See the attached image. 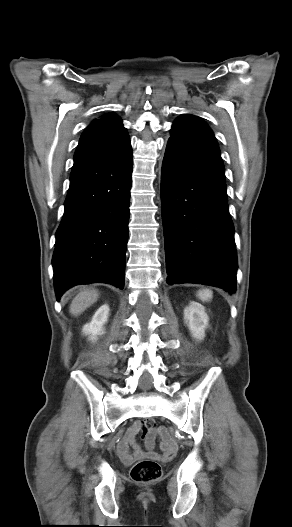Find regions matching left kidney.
Wrapping results in <instances>:
<instances>
[{
  "label": "left kidney",
  "mask_w": 292,
  "mask_h": 527,
  "mask_svg": "<svg viewBox=\"0 0 292 527\" xmlns=\"http://www.w3.org/2000/svg\"><path fill=\"white\" fill-rule=\"evenodd\" d=\"M184 320L192 336L197 340H202L208 326V316L204 307L199 303L191 302L184 310Z\"/></svg>",
  "instance_id": "1"
}]
</instances>
